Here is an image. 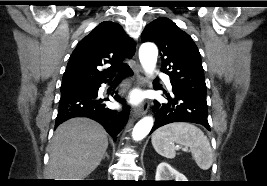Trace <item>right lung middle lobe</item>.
Masks as SVG:
<instances>
[{"mask_svg":"<svg viewBox=\"0 0 267 186\" xmlns=\"http://www.w3.org/2000/svg\"><path fill=\"white\" fill-rule=\"evenodd\" d=\"M70 86H74V85H70ZM70 86H61V90L67 88V87H70Z\"/></svg>","mask_w":267,"mask_h":186,"instance_id":"obj_1","label":"right lung middle lobe"}]
</instances>
